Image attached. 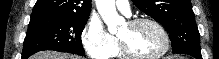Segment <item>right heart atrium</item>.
<instances>
[{"label": "right heart atrium", "instance_id": "1", "mask_svg": "<svg viewBox=\"0 0 219 59\" xmlns=\"http://www.w3.org/2000/svg\"><path fill=\"white\" fill-rule=\"evenodd\" d=\"M86 54L92 59H107L114 53L116 39L107 32L98 18L91 17L81 35Z\"/></svg>", "mask_w": 219, "mask_h": 59}]
</instances>
